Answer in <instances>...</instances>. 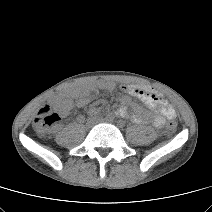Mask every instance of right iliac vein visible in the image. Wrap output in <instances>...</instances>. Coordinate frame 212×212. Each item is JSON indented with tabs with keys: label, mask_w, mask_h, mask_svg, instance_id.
Listing matches in <instances>:
<instances>
[{
	"label": "right iliac vein",
	"mask_w": 212,
	"mask_h": 212,
	"mask_svg": "<svg viewBox=\"0 0 212 212\" xmlns=\"http://www.w3.org/2000/svg\"><path fill=\"white\" fill-rule=\"evenodd\" d=\"M93 125H94V121H93L92 119H89V120L87 121V123H86V126H87L88 128H91Z\"/></svg>",
	"instance_id": "right-iliac-vein-1"
}]
</instances>
